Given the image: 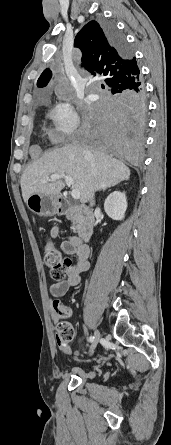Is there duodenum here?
<instances>
[{"instance_id":"410a0bca","label":"duodenum","mask_w":171,"mask_h":445,"mask_svg":"<svg viewBox=\"0 0 171 445\" xmlns=\"http://www.w3.org/2000/svg\"><path fill=\"white\" fill-rule=\"evenodd\" d=\"M57 212L60 216L72 217L79 223V236L82 240L90 239L94 226L93 211L87 206L72 207L66 197L60 195L57 202Z\"/></svg>"}]
</instances>
